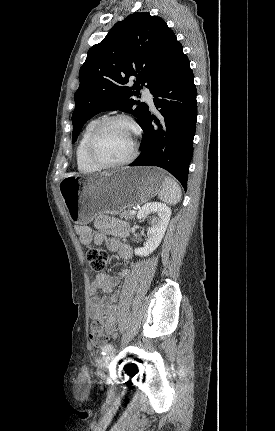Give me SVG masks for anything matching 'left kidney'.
Listing matches in <instances>:
<instances>
[{"mask_svg":"<svg viewBox=\"0 0 275 431\" xmlns=\"http://www.w3.org/2000/svg\"><path fill=\"white\" fill-rule=\"evenodd\" d=\"M156 213L157 217L152 220L151 227L147 229V239L144 247L135 248V255L147 256L152 253L160 244L167 229L171 209L163 203H147L138 211L137 218L145 219L149 214Z\"/></svg>","mask_w":275,"mask_h":431,"instance_id":"5707ae66","label":"left kidney"}]
</instances>
